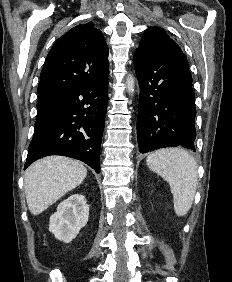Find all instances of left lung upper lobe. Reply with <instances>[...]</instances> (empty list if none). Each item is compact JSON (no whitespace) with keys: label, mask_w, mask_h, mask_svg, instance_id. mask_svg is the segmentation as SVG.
I'll return each instance as SVG.
<instances>
[{"label":"left lung upper lobe","mask_w":232,"mask_h":282,"mask_svg":"<svg viewBox=\"0 0 232 282\" xmlns=\"http://www.w3.org/2000/svg\"><path fill=\"white\" fill-rule=\"evenodd\" d=\"M180 49L174 40L160 27H151L144 33L138 49L147 53H157L166 49Z\"/></svg>","instance_id":"left-lung-upper-lobe-1"}]
</instances>
